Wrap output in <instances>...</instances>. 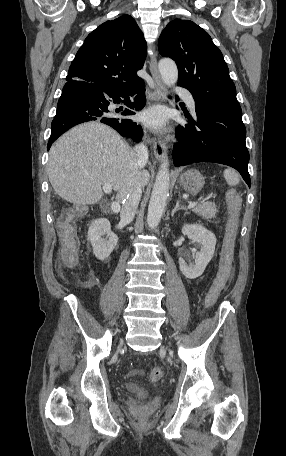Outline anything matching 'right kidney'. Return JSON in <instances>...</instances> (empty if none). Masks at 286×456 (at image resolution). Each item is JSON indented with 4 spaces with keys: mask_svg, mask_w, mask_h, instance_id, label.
Returning <instances> with one entry per match:
<instances>
[{
    "mask_svg": "<svg viewBox=\"0 0 286 456\" xmlns=\"http://www.w3.org/2000/svg\"><path fill=\"white\" fill-rule=\"evenodd\" d=\"M107 235V238H103ZM87 239L91 242L93 253L98 260L107 259L118 243V237L111 231L110 222L106 218L91 222Z\"/></svg>",
    "mask_w": 286,
    "mask_h": 456,
    "instance_id": "obj_1",
    "label": "right kidney"
}]
</instances>
